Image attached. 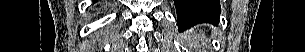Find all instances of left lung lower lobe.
I'll list each match as a JSON object with an SVG mask.
<instances>
[{
	"label": "left lung lower lobe",
	"instance_id": "1",
	"mask_svg": "<svg viewBox=\"0 0 305 52\" xmlns=\"http://www.w3.org/2000/svg\"><path fill=\"white\" fill-rule=\"evenodd\" d=\"M177 14L192 8L199 9L207 13V19L203 22L218 23L219 14L221 11L219 0H174ZM201 23V22H200ZM197 24V23H196ZM195 25V24H193ZM193 25H179L181 30L188 29Z\"/></svg>",
	"mask_w": 305,
	"mask_h": 52
}]
</instances>
